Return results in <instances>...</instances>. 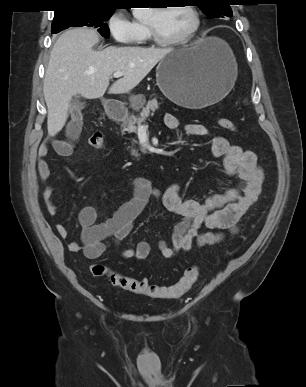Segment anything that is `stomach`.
<instances>
[{
    "mask_svg": "<svg viewBox=\"0 0 306 387\" xmlns=\"http://www.w3.org/2000/svg\"><path fill=\"white\" fill-rule=\"evenodd\" d=\"M237 64L230 47L216 37L201 38L168 53L156 68L162 93L177 105L200 109L223 99L234 87Z\"/></svg>",
    "mask_w": 306,
    "mask_h": 387,
    "instance_id": "0dacf381",
    "label": "stomach"
}]
</instances>
